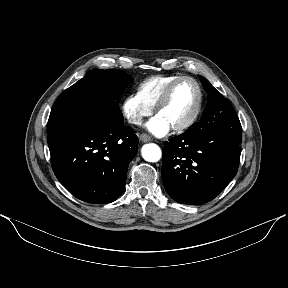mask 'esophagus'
Here are the masks:
<instances>
[{"mask_svg":"<svg viewBox=\"0 0 288 288\" xmlns=\"http://www.w3.org/2000/svg\"><path fill=\"white\" fill-rule=\"evenodd\" d=\"M139 139L142 142H150V141H152V138L149 135L144 134V133L139 136Z\"/></svg>","mask_w":288,"mask_h":288,"instance_id":"esophagus-1","label":"esophagus"}]
</instances>
